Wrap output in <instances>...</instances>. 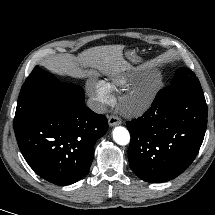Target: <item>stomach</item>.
I'll return each mask as SVG.
<instances>
[{"label": "stomach", "instance_id": "1", "mask_svg": "<svg viewBox=\"0 0 215 215\" xmlns=\"http://www.w3.org/2000/svg\"><path fill=\"white\" fill-rule=\"evenodd\" d=\"M126 56L134 62H138L139 58L135 55L133 51H127Z\"/></svg>", "mask_w": 215, "mask_h": 215}]
</instances>
